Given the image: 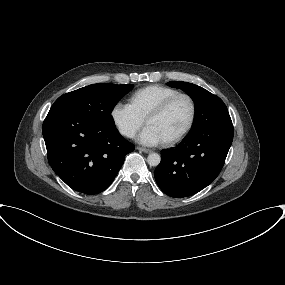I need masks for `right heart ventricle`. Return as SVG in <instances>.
Listing matches in <instances>:
<instances>
[{
    "mask_svg": "<svg viewBox=\"0 0 285 285\" xmlns=\"http://www.w3.org/2000/svg\"><path fill=\"white\" fill-rule=\"evenodd\" d=\"M178 93L179 91L174 88L149 85L135 91L130 97V104L142 118L146 119L153 109Z\"/></svg>",
    "mask_w": 285,
    "mask_h": 285,
    "instance_id": "e07e8e85",
    "label": "right heart ventricle"
}]
</instances>
